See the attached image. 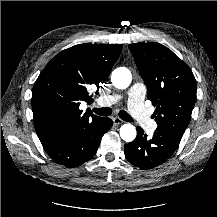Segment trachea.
I'll return each instance as SVG.
<instances>
[{
	"label": "trachea",
	"instance_id": "obj_1",
	"mask_svg": "<svg viewBox=\"0 0 217 217\" xmlns=\"http://www.w3.org/2000/svg\"><path fill=\"white\" fill-rule=\"evenodd\" d=\"M93 111L100 116H110L112 114V109L106 108H94ZM119 117L127 122H133V118L124 110L119 112Z\"/></svg>",
	"mask_w": 217,
	"mask_h": 217
}]
</instances>
